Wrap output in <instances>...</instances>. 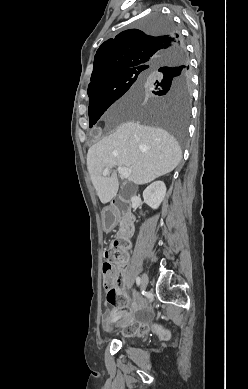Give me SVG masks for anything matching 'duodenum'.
<instances>
[{
	"instance_id": "1",
	"label": "duodenum",
	"mask_w": 248,
	"mask_h": 389,
	"mask_svg": "<svg viewBox=\"0 0 248 389\" xmlns=\"http://www.w3.org/2000/svg\"><path fill=\"white\" fill-rule=\"evenodd\" d=\"M110 212L109 213H114L115 218L114 220H109L110 224L106 225L105 224V229L106 230H111L113 229L115 225V219L119 211L122 209V203L119 200V198L115 197L111 200L110 202ZM106 213V212H104ZM103 213V214H104ZM106 221V220H104ZM134 223H135V216L130 210L129 207H125L122 209V218H121V237L122 239L126 240L130 238L134 232Z\"/></svg>"
}]
</instances>
